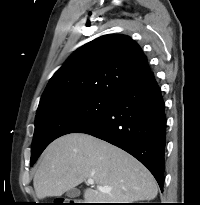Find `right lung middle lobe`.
Returning <instances> with one entry per match:
<instances>
[{"label": "right lung middle lobe", "mask_w": 200, "mask_h": 205, "mask_svg": "<svg viewBox=\"0 0 200 205\" xmlns=\"http://www.w3.org/2000/svg\"><path fill=\"white\" fill-rule=\"evenodd\" d=\"M113 101L112 97L77 96L58 101L38 111L35 118L30 166H33L53 140L94 122L109 109Z\"/></svg>", "instance_id": "right-lung-middle-lobe-1"}]
</instances>
